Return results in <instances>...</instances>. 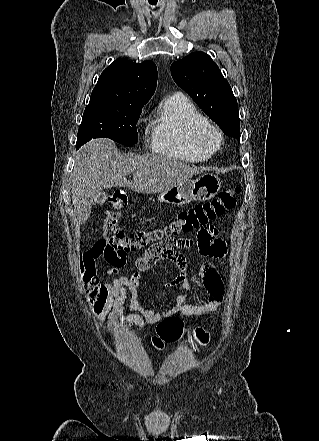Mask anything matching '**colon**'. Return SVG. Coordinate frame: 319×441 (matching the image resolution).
I'll return each mask as SVG.
<instances>
[{
	"mask_svg": "<svg viewBox=\"0 0 319 441\" xmlns=\"http://www.w3.org/2000/svg\"><path fill=\"white\" fill-rule=\"evenodd\" d=\"M240 188L224 189L210 202L199 204L177 212L161 226L139 230L126 234L119 229V210L127 205V195L123 190H116L108 197V208L102 226V239L99 241L104 257L114 265H124L127 254L149 247L166 237L178 235L199 229L202 236L209 223L236 205V195ZM82 279L85 287L92 285L95 269L93 264L81 266ZM184 325L180 318L171 316L160 321L156 333L152 337V344L162 349L167 343H174L183 334ZM198 342L205 345L210 340V334L202 328L196 330Z\"/></svg>",
	"mask_w": 319,
	"mask_h": 441,
	"instance_id": "5ec220e1",
	"label": "colon"
}]
</instances>
